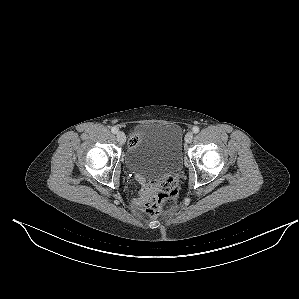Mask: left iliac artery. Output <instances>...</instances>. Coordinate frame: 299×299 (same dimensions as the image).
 Returning a JSON list of instances; mask_svg holds the SVG:
<instances>
[{"mask_svg": "<svg viewBox=\"0 0 299 299\" xmlns=\"http://www.w3.org/2000/svg\"><path fill=\"white\" fill-rule=\"evenodd\" d=\"M193 133H198L199 132V127L198 126H194L192 129Z\"/></svg>", "mask_w": 299, "mask_h": 299, "instance_id": "left-iliac-artery-1", "label": "left iliac artery"}]
</instances>
